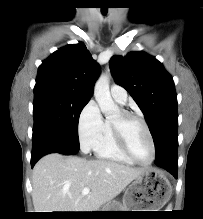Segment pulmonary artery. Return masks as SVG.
<instances>
[{
    "label": "pulmonary artery",
    "mask_w": 203,
    "mask_h": 219,
    "mask_svg": "<svg viewBox=\"0 0 203 219\" xmlns=\"http://www.w3.org/2000/svg\"><path fill=\"white\" fill-rule=\"evenodd\" d=\"M111 96L119 104H125L127 101L126 90L119 85H112L110 89Z\"/></svg>",
    "instance_id": "obj_1"
}]
</instances>
